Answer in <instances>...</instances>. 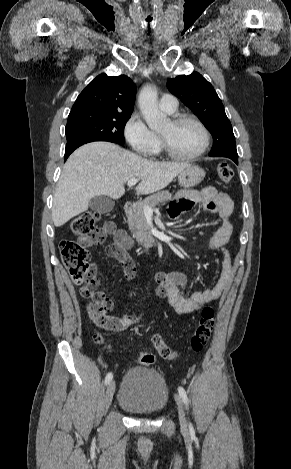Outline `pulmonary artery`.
<instances>
[{
	"label": "pulmonary artery",
	"instance_id": "e3ab8cb5",
	"mask_svg": "<svg viewBox=\"0 0 291 469\" xmlns=\"http://www.w3.org/2000/svg\"><path fill=\"white\" fill-rule=\"evenodd\" d=\"M159 107L163 111L171 114L177 110L178 101L175 96L171 94H164L159 101Z\"/></svg>",
	"mask_w": 291,
	"mask_h": 469
}]
</instances>
